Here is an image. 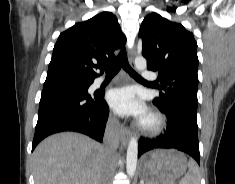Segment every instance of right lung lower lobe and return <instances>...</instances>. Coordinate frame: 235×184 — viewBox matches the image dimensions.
I'll use <instances>...</instances> for the list:
<instances>
[{
	"instance_id": "right-lung-lower-lobe-1",
	"label": "right lung lower lobe",
	"mask_w": 235,
	"mask_h": 184,
	"mask_svg": "<svg viewBox=\"0 0 235 184\" xmlns=\"http://www.w3.org/2000/svg\"><path fill=\"white\" fill-rule=\"evenodd\" d=\"M92 83L64 77L45 81L32 151L45 137L63 131L80 132L102 142L109 107L104 91L88 93Z\"/></svg>"
}]
</instances>
